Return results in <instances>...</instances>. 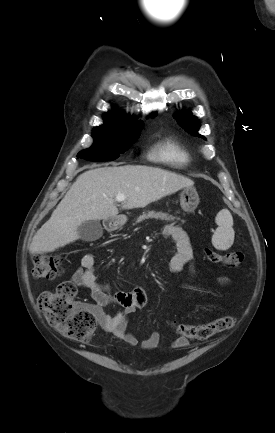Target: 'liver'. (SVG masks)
Masks as SVG:
<instances>
[{
  "mask_svg": "<svg viewBox=\"0 0 275 433\" xmlns=\"http://www.w3.org/2000/svg\"><path fill=\"white\" fill-rule=\"evenodd\" d=\"M194 182L157 167L124 165L102 167L82 173L34 235L31 254L53 252L79 239L78 227L92 220L116 218L115 197L123 194V209L143 208Z\"/></svg>",
  "mask_w": 275,
  "mask_h": 433,
  "instance_id": "obj_1",
  "label": "liver"
}]
</instances>
